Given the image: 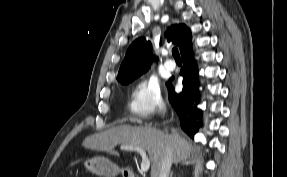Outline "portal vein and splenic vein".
<instances>
[{
    "label": "portal vein and splenic vein",
    "mask_w": 287,
    "mask_h": 177,
    "mask_svg": "<svg viewBox=\"0 0 287 177\" xmlns=\"http://www.w3.org/2000/svg\"><path fill=\"white\" fill-rule=\"evenodd\" d=\"M121 149L123 150H129V151H137L142 156V162L140 166V172L143 174L149 170L150 167V160L148 159L146 152L143 148L137 147V146H127L122 145Z\"/></svg>",
    "instance_id": "obj_1"
}]
</instances>
